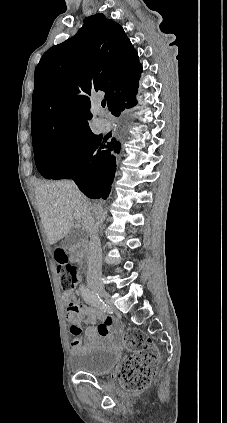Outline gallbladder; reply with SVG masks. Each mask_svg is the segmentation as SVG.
I'll list each match as a JSON object with an SVG mask.
<instances>
[{
	"instance_id": "obj_1",
	"label": "gallbladder",
	"mask_w": 227,
	"mask_h": 423,
	"mask_svg": "<svg viewBox=\"0 0 227 423\" xmlns=\"http://www.w3.org/2000/svg\"><path fill=\"white\" fill-rule=\"evenodd\" d=\"M83 237H85V229L75 227V229H72V233H69L65 239H62L59 247H62V249H69L73 243H78Z\"/></svg>"
}]
</instances>
